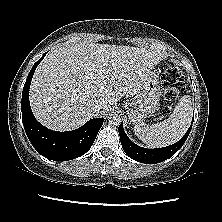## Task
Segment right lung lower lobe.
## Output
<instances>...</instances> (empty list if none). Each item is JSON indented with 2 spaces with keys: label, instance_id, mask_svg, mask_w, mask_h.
<instances>
[{
  "label": "right lung lower lobe",
  "instance_id": "obj_1",
  "mask_svg": "<svg viewBox=\"0 0 222 222\" xmlns=\"http://www.w3.org/2000/svg\"><path fill=\"white\" fill-rule=\"evenodd\" d=\"M46 53L33 65L25 82L22 101V122L25 132L38 153L54 161H67L84 155L92 146L104 118L91 119L80 128L68 132H56L41 125L34 117L29 88L35 69Z\"/></svg>",
  "mask_w": 222,
  "mask_h": 222
}]
</instances>
